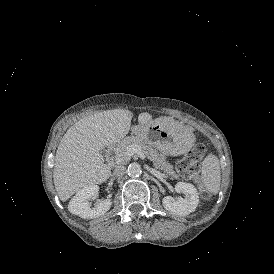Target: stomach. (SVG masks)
Segmentation results:
<instances>
[{"label": "stomach", "mask_w": 274, "mask_h": 274, "mask_svg": "<svg viewBox=\"0 0 274 274\" xmlns=\"http://www.w3.org/2000/svg\"><path fill=\"white\" fill-rule=\"evenodd\" d=\"M177 123L172 118L160 117L146 124L133 125L131 133L167 156H179L192 147L193 134L190 130L176 133Z\"/></svg>", "instance_id": "obj_1"}]
</instances>
